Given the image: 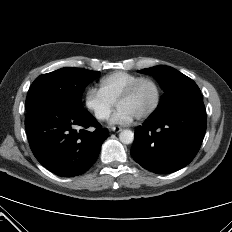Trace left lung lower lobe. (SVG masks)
<instances>
[{
  "mask_svg": "<svg viewBox=\"0 0 232 232\" xmlns=\"http://www.w3.org/2000/svg\"><path fill=\"white\" fill-rule=\"evenodd\" d=\"M202 95L186 99L135 130L133 159L145 169L167 174L188 165L206 132Z\"/></svg>",
  "mask_w": 232,
  "mask_h": 232,
  "instance_id": "1",
  "label": "left lung lower lobe"
}]
</instances>
